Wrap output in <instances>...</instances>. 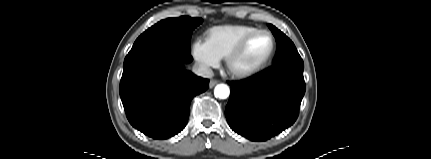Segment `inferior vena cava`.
<instances>
[{"label":"inferior vena cava","mask_w":431,"mask_h":159,"mask_svg":"<svg viewBox=\"0 0 431 159\" xmlns=\"http://www.w3.org/2000/svg\"><path fill=\"white\" fill-rule=\"evenodd\" d=\"M192 71L196 75L204 78H212L214 76L212 69L204 64L195 63L193 65Z\"/></svg>","instance_id":"1"}]
</instances>
